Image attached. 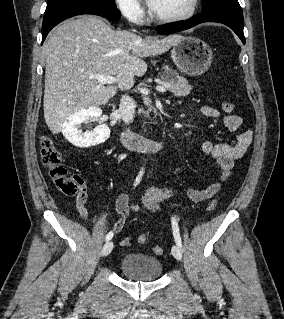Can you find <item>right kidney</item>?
Instances as JSON below:
<instances>
[{
    "label": "right kidney",
    "instance_id": "obj_1",
    "mask_svg": "<svg viewBox=\"0 0 284 319\" xmlns=\"http://www.w3.org/2000/svg\"><path fill=\"white\" fill-rule=\"evenodd\" d=\"M102 114L98 107L81 109L72 114L64 123L62 132L65 138L73 145L86 148L101 144L110 137V129L106 124L100 123L92 131L82 132V123L98 118Z\"/></svg>",
    "mask_w": 284,
    "mask_h": 319
}]
</instances>
